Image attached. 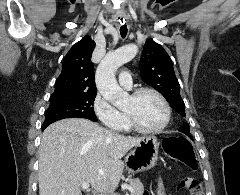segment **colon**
Instances as JSON below:
<instances>
[{
    "label": "colon",
    "mask_w": 240,
    "mask_h": 195,
    "mask_svg": "<svg viewBox=\"0 0 240 195\" xmlns=\"http://www.w3.org/2000/svg\"><path fill=\"white\" fill-rule=\"evenodd\" d=\"M162 147L166 155L172 159L184 163L189 169L195 170L198 167V158L193 151L192 145L187 138L174 137L165 139L162 142ZM158 183H163V175H158ZM188 192L192 195H202V184L197 179H188ZM156 195H164L163 187H158Z\"/></svg>",
    "instance_id": "1"
}]
</instances>
